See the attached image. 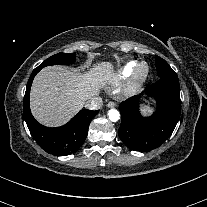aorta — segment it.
I'll return each mask as SVG.
<instances>
[{
	"instance_id": "obj_1",
	"label": "aorta",
	"mask_w": 207,
	"mask_h": 207,
	"mask_svg": "<svg viewBox=\"0 0 207 207\" xmlns=\"http://www.w3.org/2000/svg\"><path fill=\"white\" fill-rule=\"evenodd\" d=\"M108 117L112 122H117L120 119V113L116 109H110L108 111Z\"/></svg>"
}]
</instances>
